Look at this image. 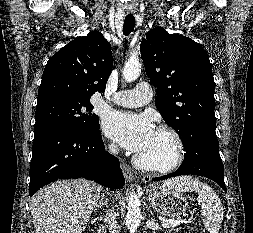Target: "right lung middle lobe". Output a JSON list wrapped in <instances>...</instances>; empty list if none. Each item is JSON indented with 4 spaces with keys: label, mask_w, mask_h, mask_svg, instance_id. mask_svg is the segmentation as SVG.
Instances as JSON below:
<instances>
[{
    "label": "right lung middle lobe",
    "mask_w": 253,
    "mask_h": 233,
    "mask_svg": "<svg viewBox=\"0 0 253 233\" xmlns=\"http://www.w3.org/2000/svg\"><path fill=\"white\" fill-rule=\"evenodd\" d=\"M92 110L89 99L49 98L37 104L34 130L59 126L80 133H92L99 127V117L91 113Z\"/></svg>",
    "instance_id": "right-lung-middle-lobe-1"
}]
</instances>
